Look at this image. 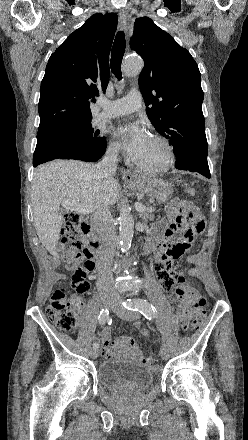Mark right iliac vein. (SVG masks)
I'll return each mask as SVG.
<instances>
[{
  "mask_svg": "<svg viewBox=\"0 0 248 440\" xmlns=\"http://www.w3.org/2000/svg\"><path fill=\"white\" fill-rule=\"evenodd\" d=\"M103 303H104L105 306H107L108 308H111V307L114 305L115 300H114L113 298L109 297V296H105L104 299H103ZM90 356H91V358H93V359L97 358V357H98V349H94V348H93V349L90 351Z\"/></svg>",
  "mask_w": 248,
  "mask_h": 440,
  "instance_id": "obj_1",
  "label": "right iliac vein"
}]
</instances>
